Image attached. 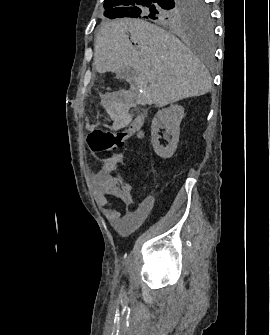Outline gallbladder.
<instances>
[{"label": "gallbladder", "mask_w": 270, "mask_h": 335, "mask_svg": "<svg viewBox=\"0 0 270 335\" xmlns=\"http://www.w3.org/2000/svg\"><path fill=\"white\" fill-rule=\"evenodd\" d=\"M117 78H122V80H126V82H132L135 78V72L133 68L127 66V68H124L121 72H117Z\"/></svg>", "instance_id": "1"}]
</instances>
